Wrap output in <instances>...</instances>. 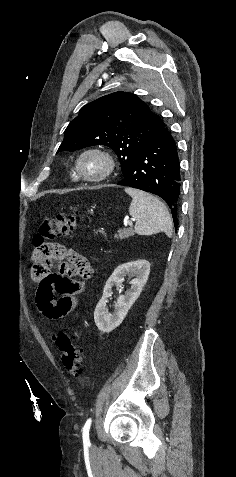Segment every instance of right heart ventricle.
<instances>
[{
  "mask_svg": "<svg viewBox=\"0 0 236 477\" xmlns=\"http://www.w3.org/2000/svg\"><path fill=\"white\" fill-rule=\"evenodd\" d=\"M71 177H72L73 180H77V176H76L75 173H72Z\"/></svg>",
  "mask_w": 236,
  "mask_h": 477,
  "instance_id": "right-heart-ventricle-1",
  "label": "right heart ventricle"
}]
</instances>
